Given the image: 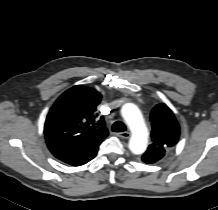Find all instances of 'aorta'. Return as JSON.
<instances>
[{
  "label": "aorta",
  "instance_id": "obj_1",
  "mask_svg": "<svg viewBox=\"0 0 218 210\" xmlns=\"http://www.w3.org/2000/svg\"><path fill=\"white\" fill-rule=\"evenodd\" d=\"M121 114L132 133L129 149L134 154L143 153L148 144V130L140 110L135 104L126 103L121 109Z\"/></svg>",
  "mask_w": 218,
  "mask_h": 210
}]
</instances>
